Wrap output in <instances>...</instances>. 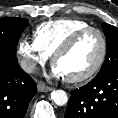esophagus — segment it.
<instances>
[{"mask_svg": "<svg viewBox=\"0 0 118 118\" xmlns=\"http://www.w3.org/2000/svg\"><path fill=\"white\" fill-rule=\"evenodd\" d=\"M37 88L40 92H49V91H52L53 88L52 87H49L47 86L45 83L43 82H38L37 84Z\"/></svg>", "mask_w": 118, "mask_h": 118, "instance_id": "1", "label": "esophagus"}]
</instances>
